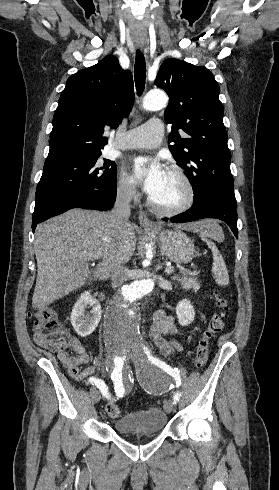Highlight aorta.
I'll list each match as a JSON object with an SVG mask.
<instances>
[{
  "mask_svg": "<svg viewBox=\"0 0 279 490\" xmlns=\"http://www.w3.org/2000/svg\"><path fill=\"white\" fill-rule=\"evenodd\" d=\"M168 102L166 93L150 91L143 100V108L156 111ZM154 288L152 279L137 280L125 287L109 302L104 320L105 339L111 346H131L141 343L139 332V312L136 301Z\"/></svg>",
  "mask_w": 279,
  "mask_h": 490,
  "instance_id": "aorta-1",
  "label": "aorta"
}]
</instances>
